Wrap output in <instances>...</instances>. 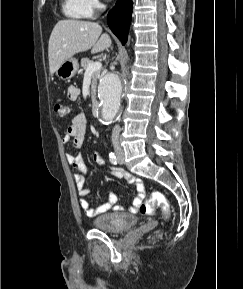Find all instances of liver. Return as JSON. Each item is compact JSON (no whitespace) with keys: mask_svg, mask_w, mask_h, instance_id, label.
I'll list each match as a JSON object with an SVG mask.
<instances>
[{"mask_svg":"<svg viewBox=\"0 0 243 289\" xmlns=\"http://www.w3.org/2000/svg\"><path fill=\"white\" fill-rule=\"evenodd\" d=\"M102 33V27L95 22L74 19L60 20L49 38V70L53 75L60 65L77 53L91 49L95 54L108 49L111 38Z\"/></svg>","mask_w":243,"mask_h":289,"instance_id":"obj_1","label":"liver"}]
</instances>
